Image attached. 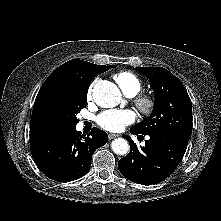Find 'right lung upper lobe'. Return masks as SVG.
Listing matches in <instances>:
<instances>
[{"label":"right lung upper lobe","instance_id":"cb5924a9","mask_svg":"<svg viewBox=\"0 0 221 221\" xmlns=\"http://www.w3.org/2000/svg\"><path fill=\"white\" fill-rule=\"evenodd\" d=\"M110 68L111 65H96L74 59L55 69L44 81L37 94L30 122V139L49 133L44 125L43 115L46 105L55 94L87 93L92 79Z\"/></svg>","mask_w":221,"mask_h":221}]
</instances>
